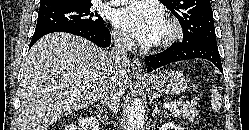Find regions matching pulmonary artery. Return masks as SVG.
Returning <instances> with one entry per match:
<instances>
[{"label": "pulmonary artery", "instance_id": "1", "mask_svg": "<svg viewBox=\"0 0 249 130\" xmlns=\"http://www.w3.org/2000/svg\"><path fill=\"white\" fill-rule=\"evenodd\" d=\"M132 0H110L111 4H115V5H120V4H125L128 3Z\"/></svg>", "mask_w": 249, "mask_h": 130}]
</instances>
